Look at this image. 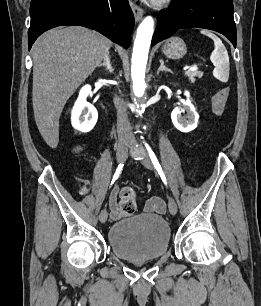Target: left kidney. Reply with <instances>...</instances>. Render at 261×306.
Instances as JSON below:
<instances>
[{
    "instance_id": "left-kidney-1",
    "label": "left kidney",
    "mask_w": 261,
    "mask_h": 306,
    "mask_svg": "<svg viewBox=\"0 0 261 306\" xmlns=\"http://www.w3.org/2000/svg\"><path fill=\"white\" fill-rule=\"evenodd\" d=\"M185 95L187 96V101L183 103V108L187 112V116L182 117L180 108L176 107L171 113V119L174 126L181 132L188 133L194 130L197 127L199 115L196 112L194 105L191 103L189 99V92L186 91Z\"/></svg>"
}]
</instances>
